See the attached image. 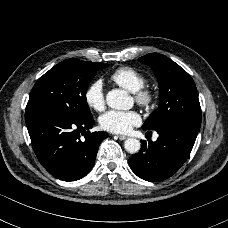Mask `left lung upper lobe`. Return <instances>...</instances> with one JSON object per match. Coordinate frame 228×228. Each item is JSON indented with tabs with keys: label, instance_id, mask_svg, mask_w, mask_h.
I'll return each instance as SVG.
<instances>
[{
	"label": "left lung upper lobe",
	"instance_id": "5c2ea615",
	"mask_svg": "<svg viewBox=\"0 0 228 228\" xmlns=\"http://www.w3.org/2000/svg\"><path fill=\"white\" fill-rule=\"evenodd\" d=\"M139 61L153 69L160 87L159 108L147 118L143 129L156 130L173 123L200 128L201 108L191 76L177 63L158 53L147 54Z\"/></svg>",
	"mask_w": 228,
	"mask_h": 228
}]
</instances>
